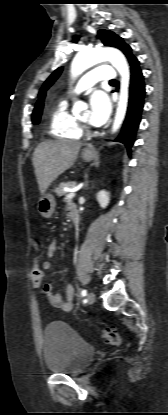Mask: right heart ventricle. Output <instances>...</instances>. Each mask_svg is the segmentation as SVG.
I'll use <instances>...</instances> for the list:
<instances>
[{"instance_id": "right-heart-ventricle-1", "label": "right heart ventricle", "mask_w": 168, "mask_h": 415, "mask_svg": "<svg viewBox=\"0 0 168 415\" xmlns=\"http://www.w3.org/2000/svg\"><path fill=\"white\" fill-rule=\"evenodd\" d=\"M49 131L57 139H79L82 136L77 118L69 111L66 100L59 101L54 107Z\"/></svg>"}]
</instances>
